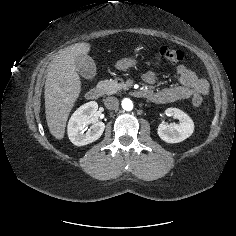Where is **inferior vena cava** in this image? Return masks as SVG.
<instances>
[{"instance_id": "inferior-vena-cava-1", "label": "inferior vena cava", "mask_w": 236, "mask_h": 236, "mask_svg": "<svg viewBox=\"0 0 236 236\" xmlns=\"http://www.w3.org/2000/svg\"><path fill=\"white\" fill-rule=\"evenodd\" d=\"M104 104L107 109L115 110L119 107V100L114 96H110L104 100Z\"/></svg>"}]
</instances>
